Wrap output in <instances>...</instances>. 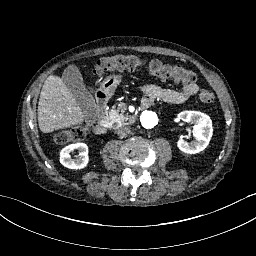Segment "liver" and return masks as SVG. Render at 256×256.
Masks as SVG:
<instances>
[{
    "instance_id": "liver-1",
    "label": "liver",
    "mask_w": 256,
    "mask_h": 256,
    "mask_svg": "<svg viewBox=\"0 0 256 256\" xmlns=\"http://www.w3.org/2000/svg\"><path fill=\"white\" fill-rule=\"evenodd\" d=\"M96 95L98 88L88 87ZM38 126L43 133L67 129L81 125L85 120L84 113L73 93L63 83L62 78L51 74L44 82L37 108Z\"/></svg>"
}]
</instances>
